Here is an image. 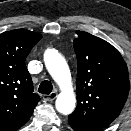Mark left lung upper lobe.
Here are the masks:
<instances>
[{"instance_id":"5c2ea615","label":"left lung upper lobe","mask_w":131,"mask_h":131,"mask_svg":"<svg viewBox=\"0 0 131 131\" xmlns=\"http://www.w3.org/2000/svg\"><path fill=\"white\" fill-rule=\"evenodd\" d=\"M76 33L77 106L68 121L84 131H99L120 114L126 102L128 69L111 44L83 31Z\"/></svg>"}]
</instances>
